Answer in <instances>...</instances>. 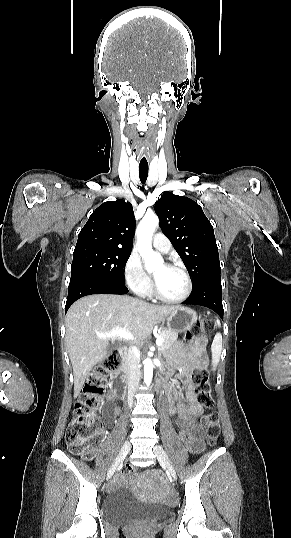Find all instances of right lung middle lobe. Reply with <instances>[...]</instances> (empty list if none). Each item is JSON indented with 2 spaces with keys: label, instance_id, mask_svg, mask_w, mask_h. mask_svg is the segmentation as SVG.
<instances>
[{
  "label": "right lung middle lobe",
  "instance_id": "obj_1",
  "mask_svg": "<svg viewBox=\"0 0 291 538\" xmlns=\"http://www.w3.org/2000/svg\"><path fill=\"white\" fill-rule=\"evenodd\" d=\"M130 249L89 247L73 253L70 283L96 280L125 285L124 269Z\"/></svg>",
  "mask_w": 291,
  "mask_h": 538
}]
</instances>
